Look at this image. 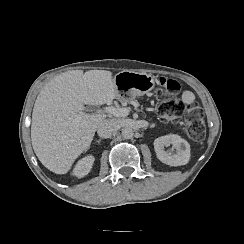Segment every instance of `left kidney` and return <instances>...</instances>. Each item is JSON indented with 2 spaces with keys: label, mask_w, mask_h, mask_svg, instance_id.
<instances>
[{
  "label": "left kidney",
  "mask_w": 244,
  "mask_h": 244,
  "mask_svg": "<svg viewBox=\"0 0 244 244\" xmlns=\"http://www.w3.org/2000/svg\"><path fill=\"white\" fill-rule=\"evenodd\" d=\"M172 145L173 149H176V154H171V152H166L164 147ZM154 149L157 158L170 166H180L185 165L190 159V145L179 135L168 134L165 136L158 137L154 140Z\"/></svg>",
  "instance_id": "5707ae66"
}]
</instances>
